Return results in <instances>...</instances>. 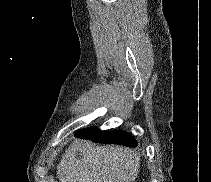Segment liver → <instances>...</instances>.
Instances as JSON below:
<instances>
[{"label": "liver", "mask_w": 211, "mask_h": 182, "mask_svg": "<svg viewBox=\"0 0 211 182\" xmlns=\"http://www.w3.org/2000/svg\"><path fill=\"white\" fill-rule=\"evenodd\" d=\"M139 167L140 157L130 148L75 139L58 165L57 176L60 182H134Z\"/></svg>", "instance_id": "obj_1"}]
</instances>
